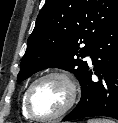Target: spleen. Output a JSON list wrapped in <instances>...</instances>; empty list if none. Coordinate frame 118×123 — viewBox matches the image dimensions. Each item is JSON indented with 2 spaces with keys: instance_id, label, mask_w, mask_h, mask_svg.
Listing matches in <instances>:
<instances>
[{
  "instance_id": "1",
  "label": "spleen",
  "mask_w": 118,
  "mask_h": 123,
  "mask_svg": "<svg viewBox=\"0 0 118 123\" xmlns=\"http://www.w3.org/2000/svg\"><path fill=\"white\" fill-rule=\"evenodd\" d=\"M87 123H115L113 120L106 119V118H93L89 119Z\"/></svg>"
}]
</instances>
